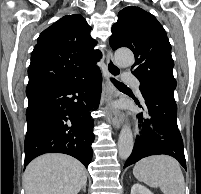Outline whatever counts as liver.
<instances>
[{
    "instance_id": "1",
    "label": "liver",
    "mask_w": 201,
    "mask_h": 194,
    "mask_svg": "<svg viewBox=\"0 0 201 194\" xmlns=\"http://www.w3.org/2000/svg\"><path fill=\"white\" fill-rule=\"evenodd\" d=\"M86 182L82 163L64 154L37 157L23 175L26 194H78Z\"/></svg>"
}]
</instances>
